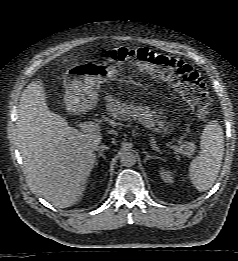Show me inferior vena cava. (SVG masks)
<instances>
[{"label":"inferior vena cava","mask_w":238,"mask_h":261,"mask_svg":"<svg viewBox=\"0 0 238 261\" xmlns=\"http://www.w3.org/2000/svg\"><path fill=\"white\" fill-rule=\"evenodd\" d=\"M102 146H104V145H102ZM100 149H101V146L96 145V146L94 147V150H100Z\"/></svg>","instance_id":"1"}]
</instances>
